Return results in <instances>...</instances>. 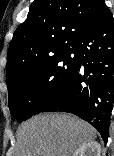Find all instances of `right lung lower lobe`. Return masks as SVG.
Segmentation results:
<instances>
[{"label":"right lung lower lobe","mask_w":114,"mask_h":156,"mask_svg":"<svg viewBox=\"0 0 114 156\" xmlns=\"http://www.w3.org/2000/svg\"><path fill=\"white\" fill-rule=\"evenodd\" d=\"M74 49L78 65L71 79L42 112L75 114L93 125L107 142L114 103V20L109 9L77 40Z\"/></svg>","instance_id":"right-lung-lower-lobe-1"}]
</instances>
